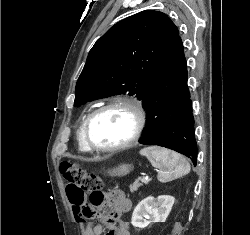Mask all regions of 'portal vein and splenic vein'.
<instances>
[{
    "instance_id": "18ae733b",
    "label": "portal vein and splenic vein",
    "mask_w": 250,
    "mask_h": 235,
    "mask_svg": "<svg viewBox=\"0 0 250 235\" xmlns=\"http://www.w3.org/2000/svg\"><path fill=\"white\" fill-rule=\"evenodd\" d=\"M141 182H145L148 180V177L147 176H143L142 178H140Z\"/></svg>"
}]
</instances>
